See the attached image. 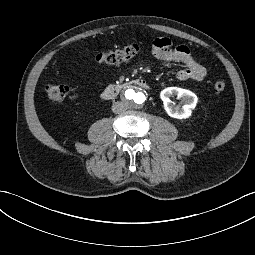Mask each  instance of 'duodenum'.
Returning <instances> with one entry per match:
<instances>
[{
	"label": "duodenum",
	"instance_id": "obj_1",
	"mask_svg": "<svg viewBox=\"0 0 255 255\" xmlns=\"http://www.w3.org/2000/svg\"><path fill=\"white\" fill-rule=\"evenodd\" d=\"M139 87L142 89H148L149 84L143 78H135L126 82L113 84L106 87L102 93L101 97L105 100L114 99L121 91L126 90L128 88Z\"/></svg>",
	"mask_w": 255,
	"mask_h": 255
}]
</instances>
